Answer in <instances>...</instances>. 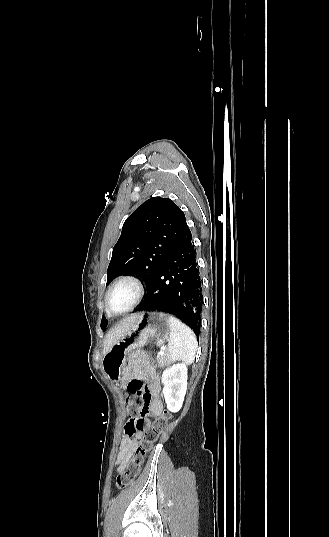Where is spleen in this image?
<instances>
[{"label":"spleen","mask_w":329,"mask_h":537,"mask_svg":"<svg viewBox=\"0 0 329 537\" xmlns=\"http://www.w3.org/2000/svg\"><path fill=\"white\" fill-rule=\"evenodd\" d=\"M171 332L168 340V353L173 360L191 364L197 351V340L193 331L179 319L170 316Z\"/></svg>","instance_id":"3e777b00"}]
</instances>
